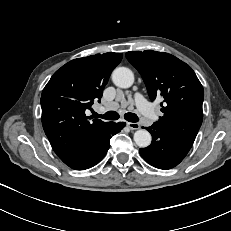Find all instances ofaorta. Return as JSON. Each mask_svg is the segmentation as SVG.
Wrapping results in <instances>:
<instances>
[{"label":"aorta","instance_id":"obj_1","mask_svg":"<svg viewBox=\"0 0 231 231\" xmlns=\"http://www.w3.org/2000/svg\"><path fill=\"white\" fill-rule=\"evenodd\" d=\"M113 83L120 88H129L134 83L133 72L126 67H118L112 73ZM135 143L142 148L148 147L151 143V135L144 129L137 130L134 133Z\"/></svg>","mask_w":231,"mask_h":231}]
</instances>
